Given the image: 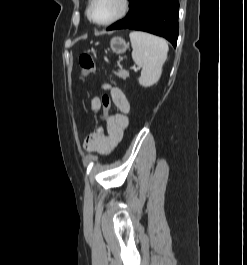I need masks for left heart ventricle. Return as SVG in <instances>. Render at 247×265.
I'll use <instances>...</instances> for the list:
<instances>
[{
	"instance_id": "obj_1",
	"label": "left heart ventricle",
	"mask_w": 247,
	"mask_h": 265,
	"mask_svg": "<svg viewBox=\"0 0 247 265\" xmlns=\"http://www.w3.org/2000/svg\"><path fill=\"white\" fill-rule=\"evenodd\" d=\"M120 9L118 0H96L92 8L95 21L103 22L113 17Z\"/></svg>"
}]
</instances>
